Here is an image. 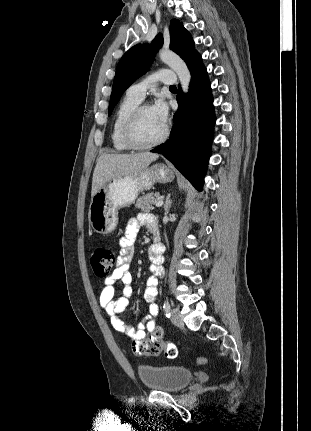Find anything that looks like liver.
I'll return each instance as SVG.
<instances>
[{
	"instance_id": "obj_1",
	"label": "liver",
	"mask_w": 311,
	"mask_h": 431,
	"mask_svg": "<svg viewBox=\"0 0 311 431\" xmlns=\"http://www.w3.org/2000/svg\"><path fill=\"white\" fill-rule=\"evenodd\" d=\"M159 158L158 154H105L97 160L92 178L91 198L114 178L137 176Z\"/></svg>"
}]
</instances>
